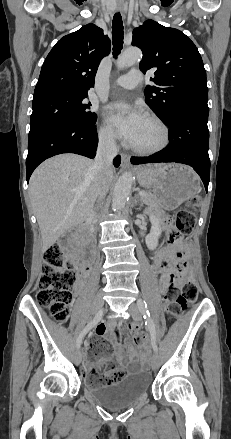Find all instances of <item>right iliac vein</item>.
<instances>
[{"instance_id":"right-iliac-vein-1","label":"right iliac vein","mask_w":231,"mask_h":439,"mask_svg":"<svg viewBox=\"0 0 231 439\" xmlns=\"http://www.w3.org/2000/svg\"><path fill=\"white\" fill-rule=\"evenodd\" d=\"M103 305L104 300L101 295H98L94 302V310L96 311L95 317L97 320H100L103 315ZM82 361V352L81 349L78 348L75 352L74 362L76 365H79Z\"/></svg>"}]
</instances>
